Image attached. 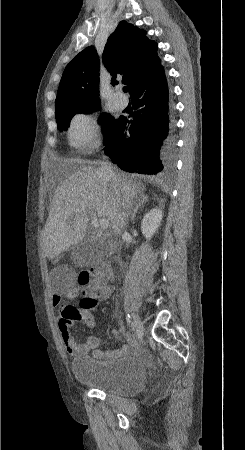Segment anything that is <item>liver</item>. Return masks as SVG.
Instances as JSON below:
<instances>
[{
  "label": "liver",
  "instance_id": "6515ba94",
  "mask_svg": "<svg viewBox=\"0 0 245 450\" xmlns=\"http://www.w3.org/2000/svg\"><path fill=\"white\" fill-rule=\"evenodd\" d=\"M98 171L86 166L71 172L55 191L43 232L44 251L50 260L56 262L71 245L85 239L90 212L107 218L115 234L126 226L129 212L125 211L131 212L144 185L117 175L120 194L117 199L110 182L100 177Z\"/></svg>",
  "mask_w": 245,
  "mask_h": 450
}]
</instances>
